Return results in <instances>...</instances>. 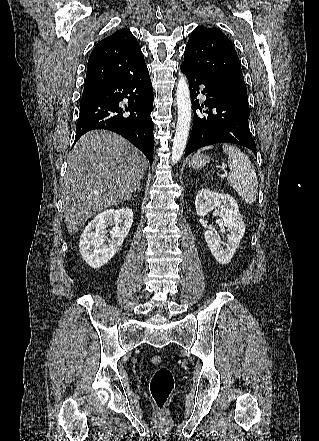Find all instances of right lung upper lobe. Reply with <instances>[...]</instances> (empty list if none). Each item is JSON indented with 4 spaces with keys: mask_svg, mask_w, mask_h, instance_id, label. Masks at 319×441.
<instances>
[{
    "mask_svg": "<svg viewBox=\"0 0 319 441\" xmlns=\"http://www.w3.org/2000/svg\"><path fill=\"white\" fill-rule=\"evenodd\" d=\"M146 67L136 38L130 30L119 29L100 41L91 52L82 98Z\"/></svg>",
    "mask_w": 319,
    "mask_h": 441,
    "instance_id": "obj_1",
    "label": "right lung upper lobe"
}]
</instances>
